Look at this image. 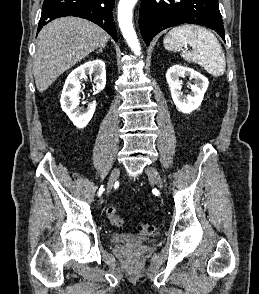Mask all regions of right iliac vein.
<instances>
[{"mask_svg":"<svg viewBox=\"0 0 259 294\" xmlns=\"http://www.w3.org/2000/svg\"><path fill=\"white\" fill-rule=\"evenodd\" d=\"M119 175H120V170L118 168H115L112 170L109 177L108 185H107V195L111 192L113 185L117 181Z\"/></svg>","mask_w":259,"mask_h":294,"instance_id":"obj_1","label":"right iliac vein"}]
</instances>
